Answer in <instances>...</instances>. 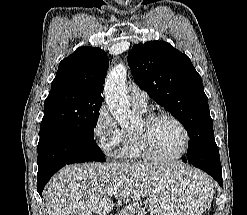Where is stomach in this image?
<instances>
[{
	"label": "stomach",
	"mask_w": 247,
	"mask_h": 215,
	"mask_svg": "<svg viewBox=\"0 0 247 215\" xmlns=\"http://www.w3.org/2000/svg\"><path fill=\"white\" fill-rule=\"evenodd\" d=\"M212 182L200 171L173 170L150 194L151 215H201L213 196Z\"/></svg>",
	"instance_id": "0dacf381"
}]
</instances>
